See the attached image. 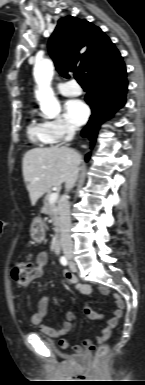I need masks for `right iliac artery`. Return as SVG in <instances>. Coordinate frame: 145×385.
Here are the masks:
<instances>
[{
	"label": "right iliac artery",
	"instance_id": "obj_1",
	"mask_svg": "<svg viewBox=\"0 0 145 385\" xmlns=\"http://www.w3.org/2000/svg\"><path fill=\"white\" fill-rule=\"evenodd\" d=\"M60 262H61V264H62L63 266H66V265L68 264V261H67L66 257H64V256H62V257L60 258Z\"/></svg>",
	"mask_w": 145,
	"mask_h": 385
}]
</instances>
